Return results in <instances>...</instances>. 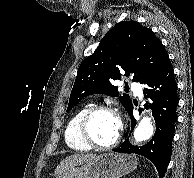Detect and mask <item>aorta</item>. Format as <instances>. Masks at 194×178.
Masks as SVG:
<instances>
[{
    "label": "aorta",
    "mask_w": 194,
    "mask_h": 178,
    "mask_svg": "<svg viewBox=\"0 0 194 178\" xmlns=\"http://www.w3.org/2000/svg\"><path fill=\"white\" fill-rule=\"evenodd\" d=\"M154 128L149 117H143L134 130L135 142H141L149 139L153 135Z\"/></svg>",
    "instance_id": "762f6f07"
}]
</instances>
